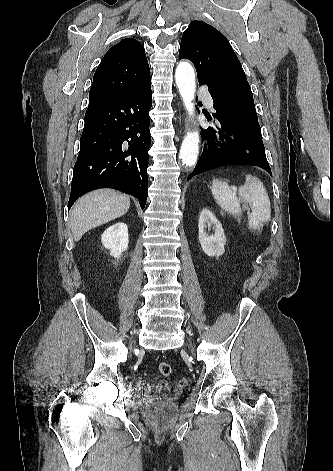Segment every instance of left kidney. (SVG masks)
<instances>
[{"label":"left kidney","mask_w":333,"mask_h":471,"mask_svg":"<svg viewBox=\"0 0 333 471\" xmlns=\"http://www.w3.org/2000/svg\"><path fill=\"white\" fill-rule=\"evenodd\" d=\"M206 225H208V227L213 225L215 233L212 235H208L205 230ZM198 228V238L204 253L210 257L221 256L225 251L224 246L226 244L224 230L219 220L208 208H204L201 211L198 222Z\"/></svg>","instance_id":"1"}]
</instances>
